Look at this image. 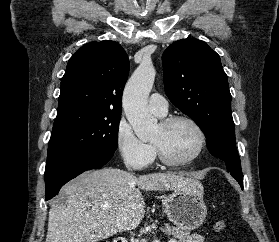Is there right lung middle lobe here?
Returning <instances> with one entry per match:
<instances>
[{
    "instance_id": "obj_1",
    "label": "right lung middle lobe",
    "mask_w": 279,
    "mask_h": 242,
    "mask_svg": "<svg viewBox=\"0 0 279 242\" xmlns=\"http://www.w3.org/2000/svg\"><path fill=\"white\" fill-rule=\"evenodd\" d=\"M120 117L121 114L83 109L57 114L45 170L85 153L113 154L118 147Z\"/></svg>"
}]
</instances>
